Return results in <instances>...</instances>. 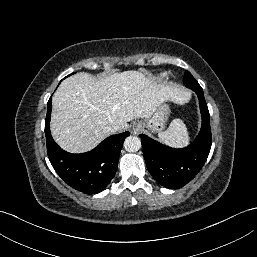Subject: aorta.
I'll return each instance as SVG.
<instances>
[{"instance_id":"762f6f07","label":"aorta","mask_w":257,"mask_h":257,"mask_svg":"<svg viewBox=\"0 0 257 257\" xmlns=\"http://www.w3.org/2000/svg\"><path fill=\"white\" fill-rule=\"evenodd\" d=\"M124 148L128 152H136L141 148V140L136 136H129L124 141Z\"/></svg>"}]
</instances>
